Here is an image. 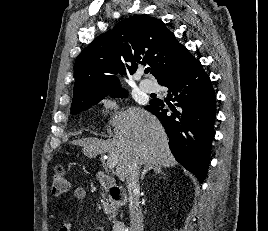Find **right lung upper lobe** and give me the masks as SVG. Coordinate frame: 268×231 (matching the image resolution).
Returning a JSON list of instances; mask_svg holds the SVG:
<instances>
[{
	"mask_svg": "<svg viewBox=\"0 0 268 231\" xmlns=\"http://www.w3.org/2000/svg\"><path fill=\"white\" fill-rule=\"evenodd\" d=\"M195 60L162 20L146 15L126 18L95 38L77 57L72 104L121 89L116 74H126V70L133 74L138 64L150 65L159 82Z\"/></svg>",
	"mask_w": 268,
	"mask_h": 231,
	"instance_id": "obj_1",
	"label": "right lung upper lobe"
}]
</instances>
